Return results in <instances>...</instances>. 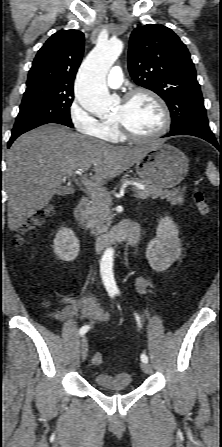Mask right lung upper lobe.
<instances>
[{"label": "right lung upper lobe", "mask_w": 222, "mask_h": 447, "mask_svg": "<svg viewBox=\"0 0 222 447\" xmlns=\"http://www.w3.org/2000/svg\"><path fill=\"white\" fill-rule=\"evenodd\" d=\"M84 51V34L60 30L38 51L29 71L27 88L45 85L73 90L76 72Z\"/></svg>", "instance_id": "obj_1"}]
</instances>
